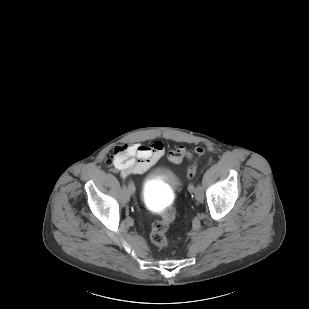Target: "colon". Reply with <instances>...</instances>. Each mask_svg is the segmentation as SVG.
Masks as SVG:
<instances>
[{
	"label": "colon",
	"instance_id": "obj_1",
	"mask_svg": "<svg viewBox=\"0 0 309 309\" xmlns=\"http://www.w3.org/2000/svg\"><path fill=\"white\" fill-rule=\"evenodd\" d=\"M205 152L204 147L199 146L195 149V154L197 158H200ZM172 153V151H171ZM170 153V155H171ZM169 155V159H170ZM129 156L128 153V148L126 146H116L107 156L106 158V163L108 165L114 163L116 164L117 162H123L126 160ZM197 172V161H193L187 168V178L189 180H192ZM175 217L174 211L172 209H166L161 218L157 221H155L152 226H151V231H150V238L152 242L160 247L164 248L169 246L170 241L168 240L167 237V231L173 222Z\"/></svg>",
	"mask_w": 309,
	"mask_h": 309
}]
</instances>
